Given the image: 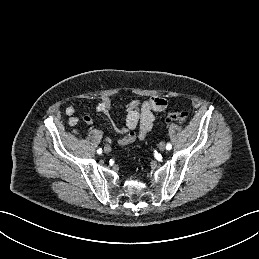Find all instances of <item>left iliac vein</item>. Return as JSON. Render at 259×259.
<instances>
[{"label":"left iliac vein","mask_w":259,"mask_h":259,"mask_svg":"<svg viewBox=\"0 0 259 259\" xmlns=\"http://www.w3.org/2000/svg\"><path fill=\"white\" fill-rule=\"evenodd\" d=\"M159 149H160L161 151H164V150H165V143H164V142H161V143L159 144Z\"/></svg>","instance_id":"obj_1"}]
</instances>
